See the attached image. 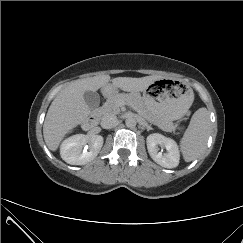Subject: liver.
Instances as JSON below:
<instances>
[{"instance_id":"liver-1","label":"liver","mask_w":243,"mask_h":243,"mask_svg":"<svg viewBox=\"0 0 243 243\" xmlns=\"http://www.w3.org/2000/svg\"><path fill=\"white\" fill-rule=\"evenodd\" d=\"M161 78L156 75L141 78L117 77L112 80V85L126 92L138 93ZM109 81V75L76 80L57 94L48 109L43 125L44 140L51 151H56L65 135L89 116L90 108L84 100V93L96 92Z\"/></svg>"}]
</instances>
